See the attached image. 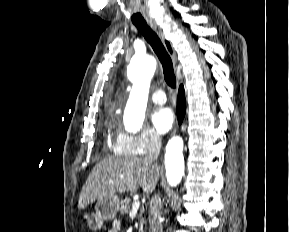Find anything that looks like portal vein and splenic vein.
Returning <instances> with one entry per match:
<instances>
[{
    "label": "portal vein and splenic vein",
    "mask_w": 289,
    "mask_h": 232,
    "mask_svg": "<svg viewBox=\"0 0 289 232\" xmlns=\"http://www.w3.org/2000/svg\"><path fill=\"white\" fill-rule=\"evenodd\" d=\"M109 182L112 183L113 180H109ZM139 206H140V202H139V201H134V202L132 203V208H131L130 213L136 212V211L139 209Z\"/></svg>",
    "instance_id": "obj_1"
}]
</instances>
